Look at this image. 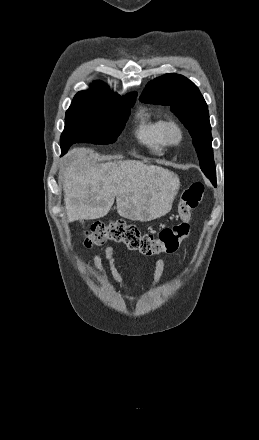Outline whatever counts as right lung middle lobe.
<instances>
[{"mask_svg": "<svg viewBox=\"0 0 259 440\" xmlns=\"http://www.w3.org/2000/svg\"><path fill=\"white\" fill-rule=\"evenodd\" d=\"M135 98L100 108L71 104L61 134V149L67 152L74 143L110 144L116 141L128 119Z\"/></svg>", "mask_w": 259, "mask_h": 440, "instance_id": "dd1d6c3e", "label": "right lung middle lobe"}]
</instances>
